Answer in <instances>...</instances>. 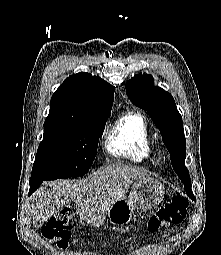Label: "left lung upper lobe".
I'll return each mask as SVG.
<instances>
[{"label":"left lung upper lobe","mask_w":221,"mask_h":255,"mask_svg":"<svg viewBox=\"0 0 221 255\" xmlns=\"http://www.w3.org/2000/svg\"><path fill=\"white\" fill-rule=\"evenodd\" d=\"M126 92L131 102L147 111L159 129L163 142L170 153L174 171L184 183L187 195L196 200L191 190V179L185 167L186 140L182 117L172 95L160 87L153 86V78L148 74L135 75L126 83Z\"/></svg>","instance_id":"1"}]
</instances>
